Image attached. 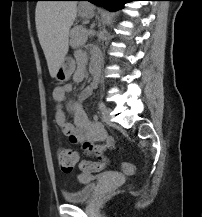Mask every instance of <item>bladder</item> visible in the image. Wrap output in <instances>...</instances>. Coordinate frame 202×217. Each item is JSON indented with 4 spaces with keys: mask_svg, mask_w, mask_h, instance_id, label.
Here are the masks:
<instances>
[{
    "mask_svg": "<svg viewBox=\"0 0 202 217\" xmlns=\"http://www.w3.org/2000/svg\"><path fill=\"white\" fill-rule=\"evenodd\" d=\"M114 173H105L101 175H93L90 173H82L78 176L81 184L80 188L71 193H64L63 198L69 204H82L89 202L95 195L97 185L93 182L96 178H115Z\"/></svg>",
    "mask_w": 202,
    "mask_h": 217,
    "instance_id": "obj_1",
    "label": "bladder"
}]
</instances>
